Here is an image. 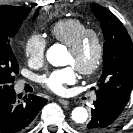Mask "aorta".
I'll use <instances>...</instances> for the list:
<instances>
[{
	"label": "aorta",
	"instance_id": "762f6f07",
	"mask_svg": "<svg viewBox=\"0 0 133 133\" xmlns=\"http://www.w3.org/2000/svg\"><path fill=\"white\" fill-rule=\"evenodd\" d=\"M66 52L61 45H53L46 53L48 62L53 66L64 65ZM71 118L76 124H83L88 119V112L84 107H76L71 113Z\"/></svg>",
	"mask_w": 133,
	"mask_h": 133
}]
</instances>
